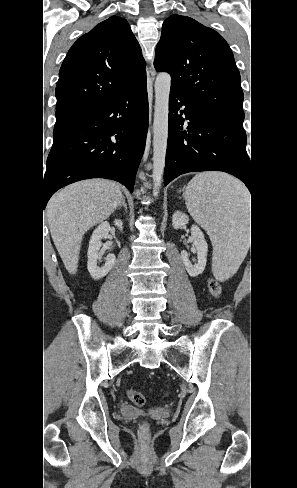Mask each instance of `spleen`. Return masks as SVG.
Masks as SVG:
<instances>
[{
	"label": "spleen",
	"mask_w": 297,
	"mask_h": 488,
	"mask_svg": "<svg viewBox=\"0 0 297 488\" xmlns=\"http://www.w3.org/2000/svg\"><path fill=\"white\" fill-rule=\"evenodd\" d=\"M187 209L208 233L223 277L234 274L248 249L249 193L230 175L197 174L185 190Z\"/></svg>",
	"instance_id": "1"
}]
</instances>
